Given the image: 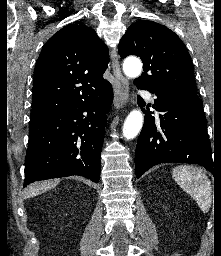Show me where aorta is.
Returning <instances> with one entry per match:
<instances>
[{"instance_id": "762f6f07", "label": "aorta", "mask_w": 221, "mask_h": 256, "mask_svg": "<svg viewBox=\"0 0 221 256\" xmlns=\"http://www.w3.org/2000/svg\"><path fill=\"white\" fill-rule=\"evenodd\" d=\"M123 71L128 77H138L142 71V63L138 59L126 60ZM143 125V114L140 110H132L123 125V135L126 139H133L138 135Z\"/></svg>"}]
</instances>
